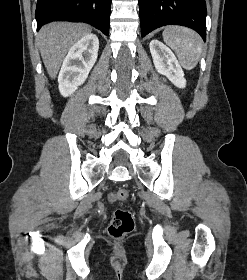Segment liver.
<instances>
[{
	"label": "liver",
	"instance_id": "6515ba94",
	"mask_svg": "<svg viewBox=\"0 0 247 280\" xmlns=\"http://www.w3.org/2000/svg\"><path fill=\"white\" fill-rule=\"evenodd\" d=\"M89 32L88 25L70 22H53L40 29L37 43L43 63L52 79L57 76L70 48Z\"/></svg>",
	"mask_w": 247,
	"mask_h": 280
}]
</instances>
